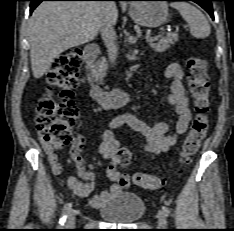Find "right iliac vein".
Masks as SVG:
<instances>
[{
    "mask_svg": "<svg viewBox=\"0 0 234 231\" xmlns=\"http://www.w3.org/2000/svg\"><path fill=\"white\" fill-rule=\"evenodd\" d=\"M74 226H75V213L71 211L67 216L65 228L71 229Z\"/></svg>",
    "mask_w": 234,
    "mask_h": 231,
    "instance_id": "1",
    "label": "right iliac vein"
}]
</instances>
